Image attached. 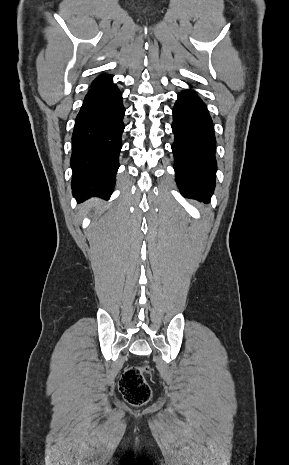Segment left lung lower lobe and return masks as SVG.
<instances>
[{"instance_id":"1","label":"left lung lower lobe","mask_w":289,"mask_h":465,"mask_svg":"<svg viewBox=\"0 0 289 465\" xmlns=\"http://www.w3.org/2000/svg\"><path fill=\"white\" fill-rule=\"evenodd\" d=\"M172 145L176 182L184 196L208 202L215 188V135L202 100L191 90L178 95L173 109Z\"/></svg>"}]
</instances>
